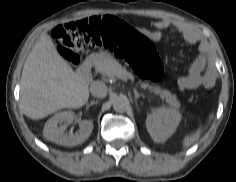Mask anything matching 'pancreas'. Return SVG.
Returning <instances> with one entry per match:
<instances>
[{"mask_svg": "<svg viewBox=\"0 0 236 182\" xmlns=\"http://www.w3.org/2000/svg\"><path fill=\"white\" fill-rule=\"evenodd\" d=\"M92 65L95 70L103 75L115 76L114 73H120L125 77L132 78V75L121 66L110 54L106 52L93 53L91 55ZM143 88L148 87L150 92L159 95L162 100H165L167 104L172 107L178 108L180 106L176 96L171 94L170 91L162 89L159 86H149L146 83H142Z\"/></svg>", "mask_w": 236, "mask_h": 182, "instance_id": "pancreas-1", "label": "pancreas"}]
</instances>
